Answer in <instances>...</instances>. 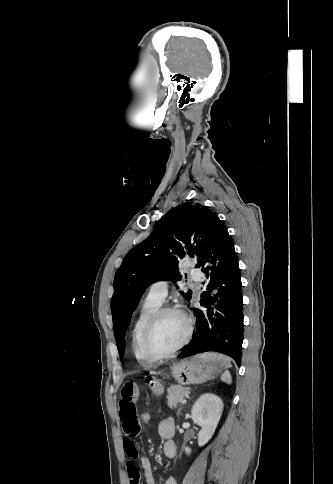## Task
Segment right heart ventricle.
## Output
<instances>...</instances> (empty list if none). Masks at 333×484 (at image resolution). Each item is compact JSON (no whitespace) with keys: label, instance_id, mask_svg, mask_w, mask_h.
<instances>
[{"label":"right heart ventricle","instance_id":"1","mask_svg":"<svg viewBox=\"0 0 333 484\" xmlns=\"http://www.w3.org/2000/svg\"><path fill=\"white\" fill-rule=\"evenodd\" d=\"M161 307V303L146 298L142 303L139 313L132 328L131 346L136 359L144 366L151 365L154 361L149 359L142 349V335L146 323L150 317Z\"/></svg>","mask_w":333,"mask_h":484}]
</instances>
